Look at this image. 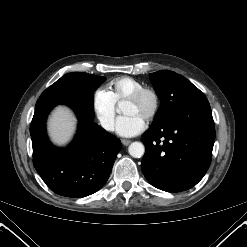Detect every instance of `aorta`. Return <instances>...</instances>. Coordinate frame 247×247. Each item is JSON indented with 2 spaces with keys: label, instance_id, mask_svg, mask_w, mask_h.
<instances>
[{
  "label": "aorta",
  "instance_id": "obj_1",
  "mask_svg": "<svg viewBox=\"0 0 247 247\" xmlns=\"http://www.w3.org/2000/svg\"><path fill=\"white\" fill-rule=\"evenodd\" d=\"M129 154L134 158H140L145 153V147L141 142H133L128 148Z\"/></svg>",
  "mask_w": 247,
  "mask_h": 247
}]
</instances>
